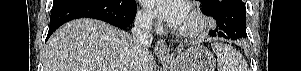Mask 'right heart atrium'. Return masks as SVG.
<instances>
[{
    "instance_id": "obj_1",
    "label": "right heart atrium",
    "mask_w": 301,
    "mask_h": 71,
    "mask_svg": "<svg viewBox=\"0 0 301 71\" xmlns=\"http://www.w3.org/2000/svg\"><path fill=\"white\" fill-rule=\"evenodd\" d=\"M140 24L145 27L149 28L152 25V17L147 12H140L138 16Z\"/></svg>"
}]
</instances>
